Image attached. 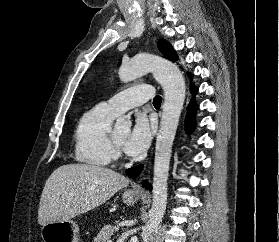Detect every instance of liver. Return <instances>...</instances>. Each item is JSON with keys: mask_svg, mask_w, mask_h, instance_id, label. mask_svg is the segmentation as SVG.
I'll list each match as a JSON object with an SVG mask.
<instances>
[{"mask_svg": "<svg viewBox=\"0 0 279 242\" xmlns=\"http://www.w3.org/2000/svg\"><path fill=\"white\" fill-rule=\"evenodd\" d=\"M129 182L124 175L105 167L87 164L60 166L43 188L38 222L43 226L86 213L105 203Z\"/></svg>", "mask_w": 279, "mask_h": 242, "instance_id": "obj_1", "label": "liver"}]
</instances>
